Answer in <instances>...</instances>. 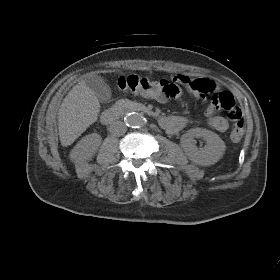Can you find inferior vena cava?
<instances>
[{
  "instance_id": "1",
  "label": "inferior vena cava",
  "mask_w": 280,
  "mask_h": 280,
  "mask_svg": "<svg viewBox=\"0 0 280 280\" xmlns=\"http://www.w3.org/2000/svg\"><path fill=\"white\" fill-rule=\"evenodd\" d=\"M110 133L114 136H121L127 131L126 125L121 121H114L110 125Z\"/></svg>"
}]
</instances>
